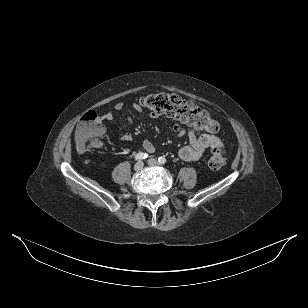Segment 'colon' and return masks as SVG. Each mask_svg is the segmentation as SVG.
<instances>
[{"label": "colon", "instance_id": "obj_1", "mask_svg": "<svg viewBox=\"0 0 308 308\" xmlns=\"http://www.w3.org/2000/svg\"><path fill=\"white\" fill-rule=\"evenodd\" d=\"M141 104L157 115H166L209 134L219 131L218 122L209 113L181 97L167 93L150 94L141 99ZM104 134V126L94 111L86 112L75 130L76 145L81 150L96 149L101 146L100 138ZM226 162L223 148H213L208 165L218 170Z\"/></svg>", "mask_w": 308, "mask_h": 308}]
</instances>
